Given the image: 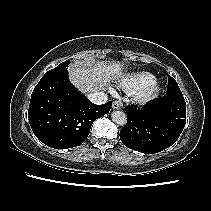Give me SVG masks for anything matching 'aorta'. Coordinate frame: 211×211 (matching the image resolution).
<instances>
[{
    "mask_svg": "<svg viewBox=\"0 0 211 211\" xmlns=\"http://www.w3.org/2000/svg\"><path fill=\"white\" fill-rule=\"evenodd\" d=\"M111 115L113 122L117 123L120 126H124L126 124L127 116L123 111L116 110L113 111Z\"/></svg>",
    "mask_w": 211,
    "mask_h": 211,
    "instance_id": "1",
    "label": "aorta"
}]
</instances>
